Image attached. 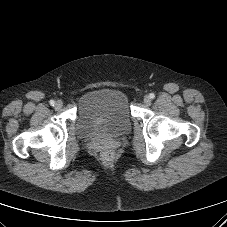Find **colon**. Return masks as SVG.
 Here are the masks:
<instances>
[{"mask_svg": "<svg viewBox=\"0 0 227 227\" xmlns=\"http://www.w3.org/2000/svg\"><path fill=\"white\" fill-rule=\"evenodd\" d=\"M103 158H104L105 160H107V161L112 160V158H113V152L110 151V150L104 151V152H103Z\"/></svg>", "mask_w": 227, "mask_h": 227, "instance_id": "1", "label": "colon"}]
</instances>
